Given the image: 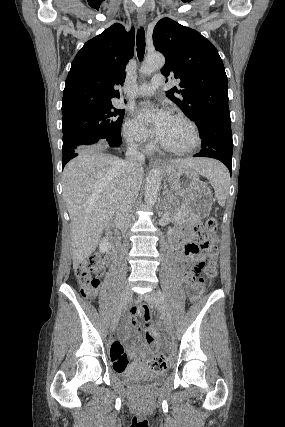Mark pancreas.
Returning a JSON list of instances; mask_svg holds the SVG:
<instances>
[{
	"label": "pancreas",
	"mask_w": 285,
	"mask_h": 427,
	"mask_svg": "<svg viewBox=\"0 0 285 427\" xmlns=\"http://www.w3.org/2000/svg\"><path fill=\"white\" fill-rule=\"evenodd\" d=\"M177 211L180 213V215L179 216H177V215H175L174 216V220H183L184 218H186V217H188L189 216V214H188V208H187V206H186V204H185V207L184 208H177ZM175 214V213H174ZM201 219H199V220H195L196 222H198V221H200Z\"/></svg>",
	"instance_id": "cf45deb5"
}]
</instances>
